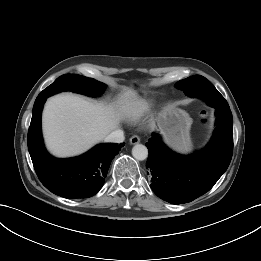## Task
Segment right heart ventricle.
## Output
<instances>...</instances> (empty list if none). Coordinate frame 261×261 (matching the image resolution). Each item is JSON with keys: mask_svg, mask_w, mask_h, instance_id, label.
I'll use <instances>...</instances> for the list:
<instances>
[{"mask_svg": "<svg viewBox=\"0 0 261 261\" xmlns=\"http://www.w3.org/2000/svg\"><path fill=\"white\" fill-rule=\"evenodd\" d=\"M150 107H151V104L147 101L139 102V103L133 105V107L130 108L129 116L132 119H136L139 116H141L143 113L148 111L150 109Z\"/></svg>", "mask_w": 261, "mask_h": 261, "instance_id": "1", "label": "right heart ventricle"}]
</instances>
